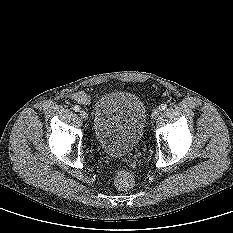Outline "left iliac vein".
I'll return each instance as SVG.
<instances>
[{"mask_svg": "<svg viewBox=\"0 0 233 233\" xmlns=\"http://www.w3.org/2000/svg\"><path fill=\"white\" fill-rule=\"evenodd\" d=\"M159 114H160V109L159 108H155L153 110L152 114H151L152 119L157 118L159 116Z\"/></svg>", "mask_w": 233, "mask_h": 233, "instance_id": "1", "label": "left iliac vein"}]
</instances>
